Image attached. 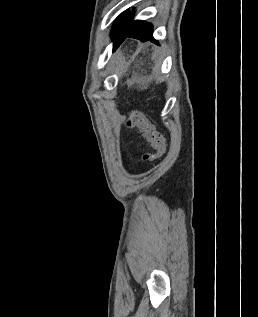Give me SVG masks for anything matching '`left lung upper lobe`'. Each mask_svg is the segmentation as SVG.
<instances>
[{
    "label": "left lung upper lobe",
    "mask_w": 258,
    "mask_h": 317,
    "mask_svg": "<svg viewBox=\"0 0 258 317\" xmlns=\"http://www.w3.org/2000/svg\"><path fill=\"white\" fill-rule=\"evenodd\" d=\"M128 18H129V10L124 11L122 14L118 16L113 28L122 29L126 25Z\"/></svg>",
    "instance_id": "obj_1"
}]
</instances>
